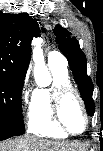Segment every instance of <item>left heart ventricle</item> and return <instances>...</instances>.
<instances>
[{"mask_svg":"<svg viewBox=\"0 0 103 151\" xmlns=\"http://www.w3.org/2000/svg\"><path fill=\"white\" fill-rule=\"evenodd\" d=\"M62 119L75 132L84 128L85 119L79 101L74 95L67 96L62 104Z\"/></svg>","mask_w":103,"mask_h":151,"instance_id":"1","label":"left heart ventricle"}]
</instances>
